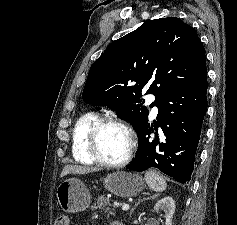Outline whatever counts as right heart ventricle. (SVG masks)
<instances>
[{
  "label": "right heart ventricle",
  "instance_id": "1",
  "mask_svg": "<svg viewBox=\"0 0 237 225\" xmlns=\"http://www.w3.org/2000/svg\"><path fill=\"white\" fill-rule=\"evenodd\" d=\"M97 119V113L89 111L82 114L75 122L72 133V155L77 162L84 164L95 162L87 150V134Z\"/></svg>",
  "mask_w": 237,
  "mask_h": 225
}]
</instances>
